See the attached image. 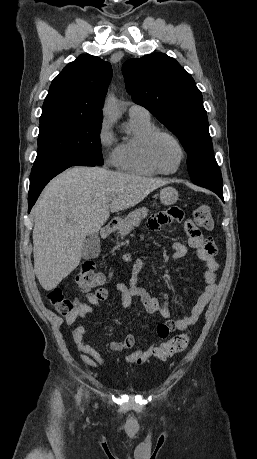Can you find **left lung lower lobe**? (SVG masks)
Listing matches in <instances>:
<instances>
[{
    "instance_id": "1",
    "label": "left lung lower lobe",
    "mask_w": 257,
    "mask_h": 459,
    "mask_svg": "<svg viewBox=\"0 0 257 459\" xmlns=\"http://www.w3.org/2000/svg\"><path fill=\"white\" fill-rule=\"evenodd\" d=\"M215 192L223 200V190H211Z\"/></svg>"
}]
</instances>
